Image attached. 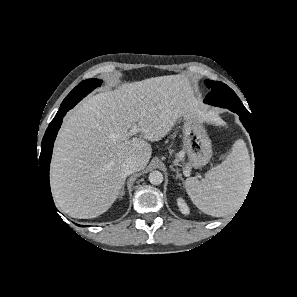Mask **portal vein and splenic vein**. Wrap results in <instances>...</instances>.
Instances as JSON below:
<instances>
[{"label": "portal vein and splenic vein", "instance_id": "obj_1", "mask_svg": "<svg viewBox=\"0 0 297 297\" xmlns=\"http://www.w3.org/2000/svg\"><path fill=\"white\" fill-rule=\"evenodd\" d=\"M138 127L135 125V126H133L132 127V129H131V135H134V134H136L137 132H138Z\"/></svg>", "mask_w": 297, "mask_h": 297}]
</instances>
